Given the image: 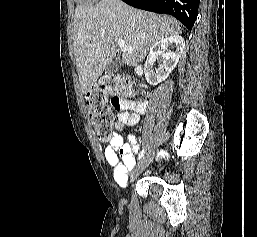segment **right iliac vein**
Returning a JSON list of instances; mask_svg holds the SVG:
<instances>
[{
	"mask_svg": "<svg viewBox=\"0 0 257 237\" xmlns=\"http://www.w3.org/2000/svg\"><path fill=\"white\" fill-rule=\"evenodd\" d=\"M151 162L150 154H146L136 165L135 169L131 173V181H134L138 174L142 172Z\"/></svg>",
	"mask_w": 257,
	"mask_h": 237,
	"instance_id": "right-iliac-vein-1",
	"label": "right iliac vein"
}]
</instances>
